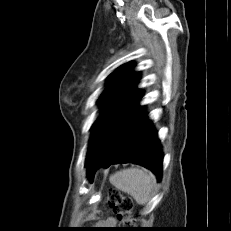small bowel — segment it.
Here are the masks:
<instances>
[{"label":"small bowel","instance_id":"obj_1","mask_svg":"<svg viewBox=\"0 0 231 231\" xmlns=\"http://www.w3.org/2000/svg\"><path fill=\"white\" fill-rule=\"evenodd\" d=\"M108 222H109L110 224H114V223H116V220H115V218H109V219H108Z\"/></svg>","mask_w":231,"mask_h":231}]
</instances>
